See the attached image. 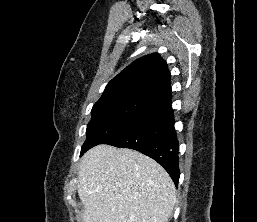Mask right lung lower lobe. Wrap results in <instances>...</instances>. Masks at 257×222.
<instances>
[{
    "label": "right lung lower lobe",
    "mask_w": 257,
    "mask_h": 222,
    "mask_svg": "<svg viewBox=\"0 0 257 222\" xmlns=\"http://www.w3.org/2000/svg\"><path fill=\"white\" fill-rule=\"evenodd\" d=\"M104 144L134 149L153 158L165 168L175 185H178L180 176L179 144L174 130L171 105L163 107L154 115Z\"/></svg>",
    "instance_id": "1"
}]
</instances>
